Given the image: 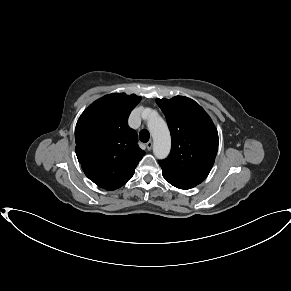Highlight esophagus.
Segmentation results:
<instances>
[{
  "label": "esophagus",
  "instance_id": "34e87169",
  "mask_svg": "<svg viewBox=\"0 0 291 291\" xmlns=\"http://www.w3.org/2000/svg\"><path fill=\"white\" fill-rule=\"evenodd\" d=\"M152 146H153V142L152 141H148L146 143V147H147L148 150H151L152 149Z\"/></svg>",
  "mask_w": 291,
  "mask_h": 291
}]
</instances>
